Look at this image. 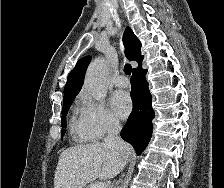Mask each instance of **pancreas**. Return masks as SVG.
<instances>
[{"instance_id": "cf45deb5", "label": "pancreas", "mask_w": 224, "mask_h": 188, "mask_svg": "<svg viewBox=\"0 0 224 188\" xmlns=\"http://www.w3.org/2000/svg\"><path fill=\"white\" fill-rule=\"evenodd\" d=\"M87 188H91V184Z\"/></svg>"}]
</instances>
